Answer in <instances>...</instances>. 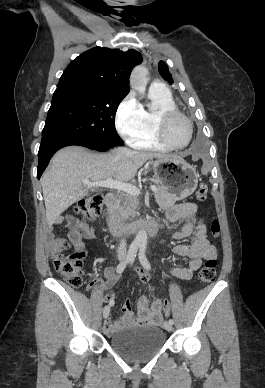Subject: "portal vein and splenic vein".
<instances>
[{
    "label": "portal vein and splenic vein",
    "mask_w": 265,
    "mask_h": 388,
    "mask_svg": "<svg viewBox=\"0 0 265 388\" xmlns=\"http://www.w3.org/2000/svg\"><path fill=\"white\" fill-rule=\"evenodd\" d=\"M84 186L87 188H91V186H100V188H113V190H122V192H127V194H131V196H139L140 190L136 188V186H132V184H126V182H116V180H112V178H107V180H101V182H89L87 178L82 180ZM152 192H157L156 186H150Z\"/></svg>",
    "instance_id": "1"
}]
</instances>
